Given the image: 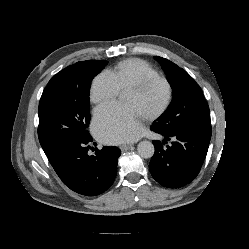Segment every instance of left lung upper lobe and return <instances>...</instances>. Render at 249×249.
I'll use <instances>...</instances> for the list:
<instances>
[{
  "label": "left lung upper lobe",
  "instance_id": "left-lung-upper-lobe-1",
  "mask_svg": "<svg viewBox=\"0 0 249 249\" xmlns=\"http://www.w3.org/2000/svg\"><path fill=\"white\" fill-rule=\"evenodd\" d=\"M173 90L172 102L154 122L161 132L171 135L189 131L211 130L209 106L200 86L173 62L155 56Z\"/></svg>",
  "mask_w": 249,
  "mask_h": 249
}]
</instances>
